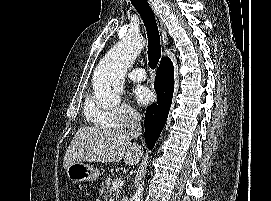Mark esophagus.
Masks as SVG:
<instances>
[{
  "instance_id": "esophagus-1",
  "label": "esophagus",
  "mask_w": 271,
  "mask_h": 201,
  "mask_svg": "<svg viewBox=\"0 0 271 201\" xmlns=\"http://www.w3.org/2000/svg\"><path fill=\"white\" fill-rule=\"evenodd\" d=\"M152 0H148V3L150 4L151 8H152V11L154 13V16H155V19H156V23H157V26H158V29L163 37V47L166 48V41H164V37L166 35V31H165V26H164V23L161 19V17L159 16V14L157 13V11L155 10V8L153 7L152 5Z\"/></svg>"
}]
</instances>
